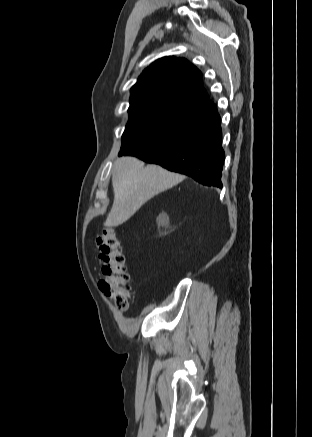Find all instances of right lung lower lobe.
<instances>
[{
	"label": "right lung lower lobe",
	"mask_w": 312,
	"mask_h": 437,
	"mask_svg": "<svg viewBox=\"0 0 312 437\" xmlns=\"http://www.w3.org/2000/svg\"><path fill=\"white\" fill-rule=\"evenodd\" d=\"M220 121L217 107L213 105L169 139L124 155H134L170 171L188 175L203 185L222 188L225 154Z\"/></svg>",
	"instance_id": "98d812e1"
}]
</instances>
